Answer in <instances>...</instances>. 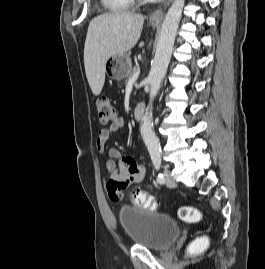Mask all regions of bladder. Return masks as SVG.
<instances>
[{
    "label": "bladder",
    "mask_w": 265,
    "mask_h": 269,
    "mask_svg": "<svg viewBox=\"0 0 265 269\" xmlns=\"http://www.w3.org/2000/svg\"><path fill=\"white\" fill-rule=\"evenodd\" d=\"M118 220L133 245L167 250L181 234L180 225L167 215L131 206L118 210Z\"/></svg>",
    "instance_id": "31cf9c89"
}]
</instances>
